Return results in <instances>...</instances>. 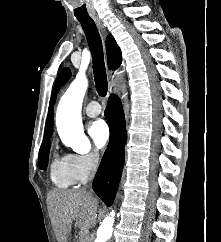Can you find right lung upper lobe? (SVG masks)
<instances>
[{"instance_id": "right-lung-upper-lobe-1", "label": "right lung upper lobe", "mask_w": 221, "mask_h": 242, "mask_svg": "<svg viewBox=\"0 0 221 242\" xmlns=\"http://www.w3.org/2000/svg\"><path fill=\"white\" fill-rule=\"evenodd\" d=\"M106 49H107V58H108V65L109 68L112 70H116L121 62H122V57H121V50L118 47L116 41L114 40L112 35H108L106 39ZM70 76V71L69 69L63 70V72L59 75L55 87H54V92L52 94L51 100H50V105H49V110H48V115H47V120H46V126H45V133H44V138H48L52 136L53 133V117H54V110H53V104L55 103L56 99V94L61 87L65 83V81L69 78Z\"/></svg>"}]
</instances>
